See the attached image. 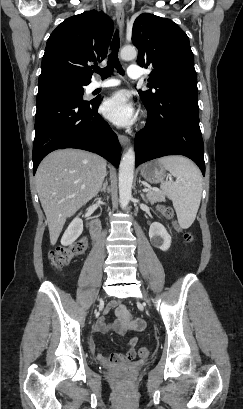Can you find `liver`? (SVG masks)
I'll return each mask as SVG.
<instances>
[{
    "instance_id": "obj_1",
    "label": "liver",
    "mask_w": 243,
    "mask_h": 409,
    "mask_svg": "<svg viewBox=\"0 0 243 409\" xmlns=\"http://www.w3.org/2000/svg\"><path fill=\"white\" fill-rule=\"evenodd\" d=\"M105 175L106 161L87 151L56 150L42 160L35 178L51 245L56 244L66 219L98 194Z\"/></svg>"
}]
</instances>
